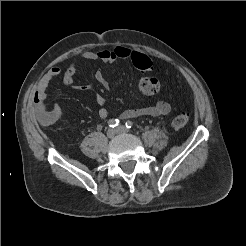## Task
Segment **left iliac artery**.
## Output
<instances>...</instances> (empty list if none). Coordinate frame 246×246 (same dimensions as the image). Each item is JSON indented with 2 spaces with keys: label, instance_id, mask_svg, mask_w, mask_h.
Wrapping results in <instances>:
<instances>
[{
  "label": "left iliac artery",
  "instance_id": "44dca946",
  "mask_svg": "<svg viewBox=\"0 0 246 246\" xmlns=\"http://www.w3.org/2000/svg\"><path fill=\"white\" fill-rule=\"evenodd\" d=\"M125 125H126V127H127L128 129H130V128H132L133 123H132L131 121H127V122L125 123Z\"/></svg>",
  "mask_w": 246,
  "mask_h": 246
}]
</instances>
